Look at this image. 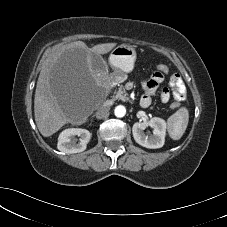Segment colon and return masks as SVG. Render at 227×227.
<instances>
[{
  "instance_id": "5ec220e1",
  "label": "colon",
  "mask_w": 227,
  "mask_h": 227,
  "mask_svg": "<svg viewBox=\"0 0 227 227\" xmlns=\"http://www.w3.org/2000/svg\"><path fill=\"white\" fill-rule=\"evenodd\" d=\"M156 70L162 74H166L169 72L168 66H166L164 64L158 65ZM178 106H179V104L177 102L172 103V105H171L172 108H177Z\"/></svg>"
}]
</instances>
